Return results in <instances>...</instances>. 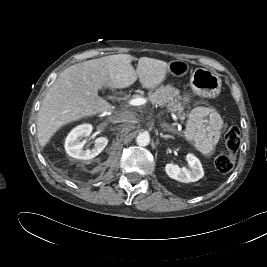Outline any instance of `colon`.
Returning <instances> with one entry per match:
<instances>
[{
    "instance_id": "1",
    "label": "colon",
    "mask_w": 267,
    "mask_h": 267,
    "mask_svg": "<svg viewBox=\"0 0 267 267\" xmlns=\"http://www.w3.org/2000/svg\"><path fill=\"white\" fill-rule=\"evenodd\" d=\"M225 151L218 155L215 160V166L221 173L230 172L235 164L236 154L240 145V130L232 124L224 134Z\"/></svg>"
}]
</instances>
